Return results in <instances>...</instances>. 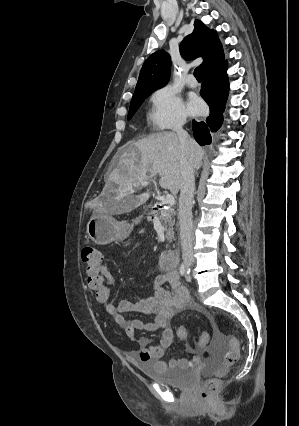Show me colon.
Instances as JSON below:
<instances>
[{
	"label": "colon",
	"instance_id": "1",
	"mask_svg": "<svg viewBox=\"0 0 299 426\" xmlns=\"http://www.w3.org/2000/svg\"><path fill=\"white\" fill-rule=\"evenodd\" d=\"M81 258L86 267L87 284L94 292L98 302L105 304L111 297L112 290L103 280L100 267L103 264V255L101 251L94 245L87 244L83 247ZM188 336V329L180 326L177 329V337L185 341ZM209 341L207 333H202L197 342L198 347H204ZM229 349L225 354V365L219 367L215 373L205 380L200 388V397L203 401H210L220 386L221 379L227 374L228 366L234 364L239 356V345L234 336L228 337Z\"/></svg>",
	"mask_w": 299,
	"mask_h": 426
}]
</instances>
